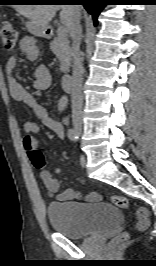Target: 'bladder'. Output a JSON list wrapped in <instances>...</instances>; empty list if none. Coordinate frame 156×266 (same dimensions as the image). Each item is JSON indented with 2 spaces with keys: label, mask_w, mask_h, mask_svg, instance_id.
<instances>
[{
  "label": "bladder",
  "mask_w": 156,
  "mask_h": 266,
  "mask_svg": "<svg viewBox=\"0 0 156 266\" xmlns=\"http://www.w3.org/2000/svg\"><path fill=\"white\" fill-rule=\"evenodd\" d=\"M47 217L55 231L73 239L105 231L122 222L119 209L107 203L53 202L47 207Z\"/></svg>",
  "instance_id": "31cf9c89"
}]
</instances>
